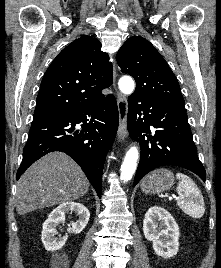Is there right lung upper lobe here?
<instances>
[{
  "label": "right lung upper lobe",
  "instance_id": "cb5924a9",
  "mask_svg": "<svg viewBox=\"0 0 221 268\" xmlns=\"http://www.w3.org/2000/svg\"><path fill=\"white\" fill-rule=\"evenodd\" d=\"M101 46L84 35L57 55L43 76L34 117L67 113L106 97L101 91L112 84L113 71Z\"/></svg>",
  "mask_w": 221,
  "mask_h": 268
}]
</instances>
